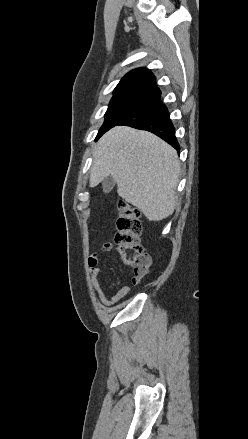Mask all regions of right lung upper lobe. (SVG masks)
Masks as SVG:
<instances>
[{"label":"right lung upper lobe","mask_w":248,"mask_h":439,"mask_svg":"<svg viewBox=\"0 0 248 439\" xmlns=\"http://www.w3.org/2000/svg\"><path fill=\"white\" fill-rule=\"evenodd\" d=\"M114 95L133 94L148 96L152 99L160 96L154 75L146 68H137L128 72L116 86Z\"/></svg>","instance_id":"cb5924a9"}]
</instances>
